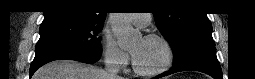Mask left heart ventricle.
Listing matches in <instances>:
<instances>
[{
	"mask_svg": "<svg viewBox=\"0 0 255 79\" xmlns=\"http://www.w3.org/2000/svg\"><path fill=\"white\" fill-rule=\"evenodd\" d=\"M137 29L136 26H133ZM135 63L143 70L160 67L165 59V48L159 41L139 39L131 48Z\"/></svg>",
	"mask_w": 255,
	"mask_h": 79,
	"instance_id": "b2bd125f",
	"label": "left heart ventricle"
}]
</instances>
